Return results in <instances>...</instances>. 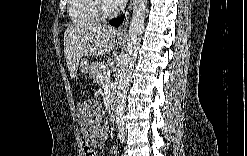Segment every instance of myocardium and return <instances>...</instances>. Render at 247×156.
Listing matches in <instances>:
<instances>
[{"label":"myocardium","mask_w":247,"mask_h":156,"mask_svg":"<svg viewBox=\"0 0 247 156\" xmlns=\"http://www.w3.org/2000/svg\"><path fill=\"white\" fill-rule=\"evenodd\" d=\"M108 1H95L93 9L99 20H106L116 16L119 8L116 5L106 6Z\"/></svg>","instance_id":"myocardium-1"}]
</instances>
